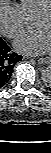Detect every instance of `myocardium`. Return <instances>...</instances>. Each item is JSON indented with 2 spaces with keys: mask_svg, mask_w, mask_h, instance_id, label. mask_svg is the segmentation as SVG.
<instances>
[{
  "mask_svg": "<svg viewBox=\"0 0 51 153\" xmlns=\"http://www.w3.org/2000/svg\"><path fill=\"white\" fill-rule=\"evenodd\" d=\"M51 18V5L49 7H47L46 9H44L43 11H41L40 13H38L36 15V17L34 18V21L42 19V18Z\"/></svg>",
  "mask_w": 51,
  "mask_h": 153,
  "instance_id": "obj_1",
  "label": "myocardium"
}]
</instances>
